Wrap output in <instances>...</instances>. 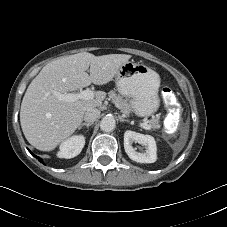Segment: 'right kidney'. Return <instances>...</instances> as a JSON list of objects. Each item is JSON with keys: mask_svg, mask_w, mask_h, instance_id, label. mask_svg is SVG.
Masks as SVG:
<instances>
[{"mask_svg": "<svg viewBox=\"0 0 227 227\" xmlns=\"http://www.w3.org/2000/svg\"><path fill=\"white\" fill-rule=\"evenodd\" d=\"M85 145V137L82 135H74L63 141L60 145V150L57 153L59 158L70 159L82 151Z\"/></svg>", "mask_w": 227, "mask_h": 227, "instance_id": "ca27d5eb", "label": "right kidney"}]
</instances>
